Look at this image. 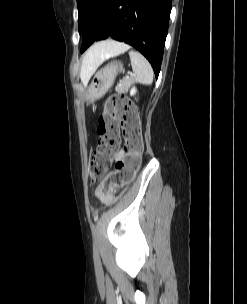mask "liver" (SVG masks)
I'll return each instance as SVG.
<instances>
[{"label":"liver","mask_w":247,"mask_h":304,"mask_svg":"<svg viewBox=\"0 0 247 304\" xmlns=\"http://www.w3.org/2000/svg\"><path fill=\"white\" fill-rule=\"evenodd\" d=\"M128 46L124 43L107 40L96 43L85 54L82 61L80 78L83 84H86L96 69L106 59L116 56L123 51L125 52Z\"/></svg>","instance_id":"1"}]
</instances>
